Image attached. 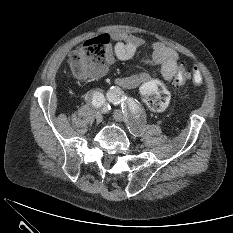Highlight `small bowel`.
<instances>
[{
	"instance_id": "1",
	"label": "small bowel",
	"mask_w": 233,
	"mask_h": 233,
	"mask_svg": "<svg viewBox=\"0 0 233 233\" xmlns=\"http://www.w3.org/2000/svg\"><path fill=\"white\" fill-rule=\"evenodd\" d=\"M113 44L109 46L106 53V66L99 75L107 72L108 67L112 65L115 58L119 60H128L132 58L139 49L144 46V40L132 34L114 33L110 35ZM146 65H157L161 68L162 76L167 81H172L181 65L179 57L175 50L167 47L161 42H155L152 45V53L142 59ZM149 80V76L144 72H136L130 76L119 77L116 84L122 88H135Z\"/></svg>"
}]
</instances>
